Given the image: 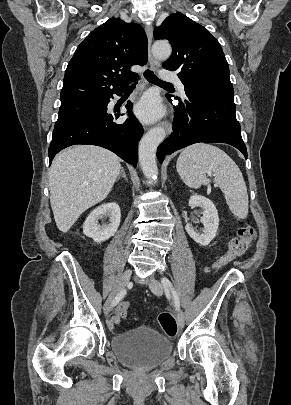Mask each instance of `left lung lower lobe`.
Segmentation results:
<instances>
[{"instance_id": "obj_1", "label": "left lung lower lobe", "mask_w": 291, "mask_h": 405, "mask_svg": "<svg viewBox=\"0 0 291 405\" xmlns=\"http://www.w3.org/2000/svg\"><path fill=\"white\" fill-rule=\"evenodd\" d=\"M186 99L175 107L172 134L158 146L160 163L166 155L199 142L227 143L247 159L241 127L236 119L233 87L185 86ZM167 98L172 102L171 96Z\"/></svg>"}]
</instances>
